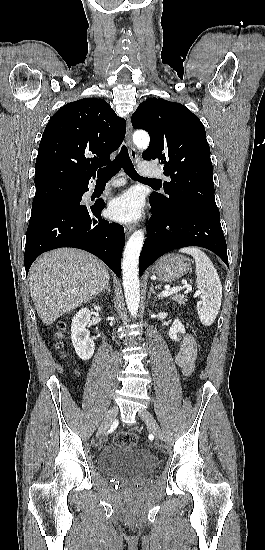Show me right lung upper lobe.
I'll list each match as a JSON object with an SVG mask.
<instances>
[{
    "instance_id": "1",
    "label": "right lung upper lobe",
    "mask_w": 265,
    "mask_h": 550,
    "mask_svg": "<svg viewBox=\"0 0 265 550\" xmlns=\"http://www.w3.org/2000/svg\"><path fill=\"white\" fill-rule=\"evenodd\" d=\"M126 122L103 99L61 107L48 122L36 159L35 186L85 188L124 139Z\"/></svg>"
}]
</instances>
